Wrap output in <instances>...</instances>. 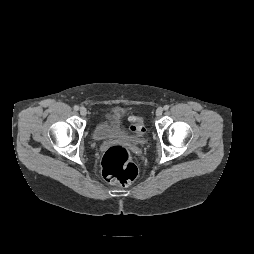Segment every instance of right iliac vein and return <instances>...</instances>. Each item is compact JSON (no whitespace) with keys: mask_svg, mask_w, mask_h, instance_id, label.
I'll return each mask as SVG.
<instances>
[{"mask_svg":"<svg viewBox=\"0 0 254 254\" xmlns=\"http://www.w3.org/2000/svg\"><path fill=\"white\" fill-rule=\"evenodd\" d=\"M79 112H80V114L82 115V116H86V114H87V109L85 108V107H80V109H79Z\"/></svg>","mask_w":254,"mask_h":254,"instance_id":"right-iliac-vein-1","label":"right iliac vein"}]
</instances>
